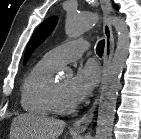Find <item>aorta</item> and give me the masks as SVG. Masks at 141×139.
Here are the masks:
<instances>
[{
  "label": "aorta",
  "instance_id": "762f6f07",
  "mask_svg": "<svg viewBox=\"0 0 141 139\" xmlns=\"http://www.w3.org/2000/svg\"><path fill=\"white\" fill-rule=\"evenodd\" d=\"M99 20L94 13H68L65 21V33L69 38H76L92 28ZM110 23L117 33V46L110 63L99 100L95 139H112V129L120 78L129 53V30L124 20L112 16Z\"/></svg>",
  "mask_w": 141,
  "mask_h": 139
}]
</instances>
